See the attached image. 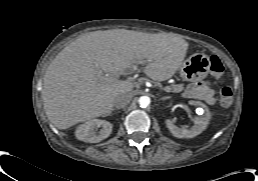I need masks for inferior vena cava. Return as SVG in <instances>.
Wrapping results in <instances>:
<instances>
[{
	"instance_id": "1",
	"label": "inferior vena cava",
	"mask_w": 258,
	"mask_h": 181,
	"mask_svg": "<svg viewBox=\"0 0 258 181\" xmlns=\"http://www.w3.org/2000/svg\"><path fill=\"white\" fill-rule=\"evenodd\" d=\"M131 99H132V95L130 93L120 94L116 97L114 101V106L117 109L124 108L130 103Z\"/></svg>"
}]
</instances>
